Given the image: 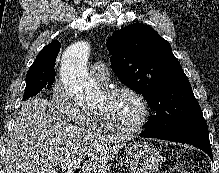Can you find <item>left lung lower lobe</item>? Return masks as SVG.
<instances>
[{
  "label": "left lung lower lobe",
  "instance_id": "0a47b994",
  "mask_svg": "<svg viewBox=\"0 0 219 173\" xmlns=\"http://www.w3.org/2000/svg\"><path fill=\"white\" fill-rule=\"evenodd\" d=\"M140 136L188 143L202 149L213 160L212 150L209 141L208 127H196V128L179 131L173 134L160 135V136L143 132L140 134Z\"/></svg>",
  "mask_w": 219,
  "mask_h": 173
}]
</instances>
